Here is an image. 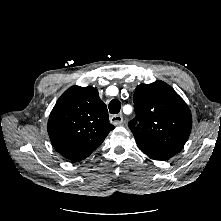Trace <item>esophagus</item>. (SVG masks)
Instances as JSON below:
<instances>
[{"label":"esophagus","instance_id":"34e87169","mask_svg":"<svg viewBox=\"0 0 221 221\" xmlns=\"http://www.w3.org/2000/svg\"><path fill=\"white\" fill-rule=\"evenodd\" d=\"M124 121V118L122 115H112L110 117V122L113 124V125H121Z\"/></svg>","mask_w":221,"mask_h":221}]
</instances>
